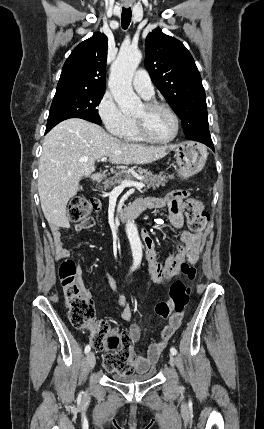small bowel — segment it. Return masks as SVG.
I'll use <instances>...</instances> for the list:
<instances>
[{
  "instance_id": "c3829d8e",
  "label": "small bowel",
  "mask_w": 264,
  "mask_h": 429,
  "mask_svg": "<svg viewBox=\"0 0 264 429\" xmlns=\"http://www.w3.org/2000/svg\"><path fill=\"white\" fill-rule=\"evenodd\" d=\"M189 196L190 193L186 190H175L170 192L164 198L148 197L138 200L135 203H142L146 206V209L149 210L167 208L170 211V224L175 228H180L183 225L182 206L184 201L187 200ZM95 224L96 220L94 218H87L77 223L74 226V229L76 231L87 230L94 227ZM142 239L146 246L147 272L149 277L154 282L165 284L179 272L180 264L184 261L186 256L189 255L191 251H196L199 248L201 235L199 233L183 230L181 233L180 242L177 244V251L174 254L168 256L164 262L160 261L157 245L148 231L144 230L142 232ZM53 242L58 256L63 258L67 257L69 253L63 244L62 235L59 228H55L53 230ZM108 278L112 283V279L109 275ZM77 280L83 292L89 296L90 290L83 283L82 271L80 269H78ZM112 286L115 288L113 283ZM119 299L121 305V318L125 322H130L133 314L132 307L126 302L125 298L121 294H119ZM181 321L182 314H174L172 316L170 324L162 331L160 341L150 344L146 354H138L135 357L133 371L145 373L150 369L151 366L156 364L161 352L166 348L169 339L178 329ZM167 332L169 333L165 334ZM128 333L132 337L133 341L138 340L141 334V326L139 324H132Z\"/></svg>"
}]
</instances>
